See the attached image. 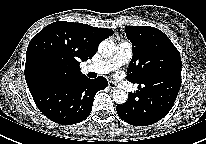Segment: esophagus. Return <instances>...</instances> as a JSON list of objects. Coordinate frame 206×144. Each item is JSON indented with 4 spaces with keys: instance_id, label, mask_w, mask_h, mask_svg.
<instances>
[{
    "instance_id": "34e87169",
    "label": "esophagus",
    "mask_w": 206,
    "mask_h": 144,
    "mask_svg": "<svg viewBox=\"0 0 206 144\" xmlns=\"http://www.w3.org/2000/svg\"><path fill=\"white\" fill-rule=\"evenodd\" d=\"M108 86L111 89H116L117 88V84L113 81H109Z\"/></svg>"
}]
</instances>
